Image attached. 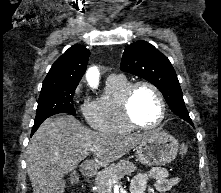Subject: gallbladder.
Masks as SVG:
<instances>
[{
  "mask_svg": "<svg viewBox=\"0 0 221 193\" xmlns=\"http://www.w3.org/2000/svg\"><path fill=\"white\" fill-rule=\"evenodd\" d=\"M65 184H66L65 180H63V181L61 182V184H60V189H61L62 191H64Z\"/></svg>",
  "mask_w": 221,
  "mask_h": 193,
  "instance_id": "1",
  "label": "gallbladder"
}]
</instances>
